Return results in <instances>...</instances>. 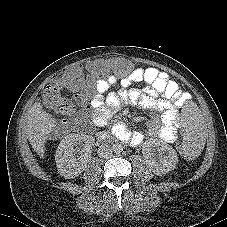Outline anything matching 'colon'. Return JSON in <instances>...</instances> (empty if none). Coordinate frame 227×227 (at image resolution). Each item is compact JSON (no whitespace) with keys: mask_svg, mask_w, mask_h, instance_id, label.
<instances>
[{"mask_svg":"<svg viewBox=\"0 0 227 227\" xmlns=\"http://www.w3.org/2000/svg\"><path fill=\"white\" fill-rule=\"evenodd\" d=\"M133 68L134 65L129 60H126L124 62L120 60H111L109 62L106 60H96L91 62L88 66L89 71L93 75L103 74L107 70L111 73H120L122 71L129 73L133 70ZM83 85V70L81 68H75L47 85L42 93V101L48 108L54 110L55 112L67 116H72L75 113V105L62 95V91L65 89L78 90L82 88ZM82 121V118L76 119L75 125H81ZM61 129L62 128L60 126L57 127L58 131ZM174 148L175 150H177L178 156L184 162H193V155L186 152L185 148H183L182 142H175Z\"/></svg>","mask_w":227,"mask_h":227,"instance_id":"obj_1","label":"colon"}]
</instances>
